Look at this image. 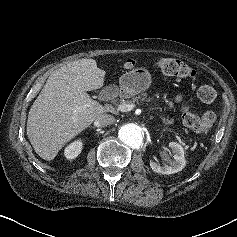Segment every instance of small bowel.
<instances>
[{
    "instance_id": "1",
    "label": "small bowel",
    "mask_w": 237,
    "mask_h": 237,
    "mask_svg": "<svg viewBox=\"0 0 237 237\" xmlns=\"http://www.w3.org/2000/svg\"><path fill=\"white\" fill-rule=\"evenodd\" d=\"M183 99V95H178L176 98H175V102H180L181 100Z\"/></svg>"
}]
</instances>
